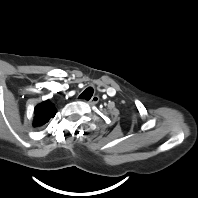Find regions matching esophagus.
<instances>
[{
  "mask_svg": "<svg viewBox=\"0 0 198 198\" xmlns=\"http://www.w3.org/2000/svg\"><path fill=\"white\" fill-rule=\"evenodd\" d=\"M99 99H100L99 96L95 95L88 101V103L90 105H95L99 102Z\"/></svg>",
  "mask_w": 198,
  "mask_h": 198,
  "instance_id": "esophagus-1",
  "label": "esophagus"
}]
</instances>
